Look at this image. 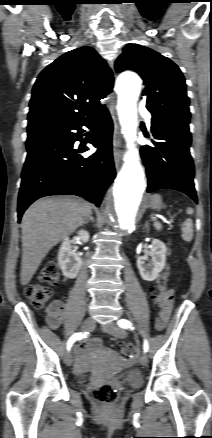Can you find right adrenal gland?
<instances>
[{"label": "right adrenal gland", "mask_w": 212, "mask_h": 438, "mask_svg": "<svg viewBox=\"0 0 212 438\" xmlns=\"http://www.w3.org/2000/svg\"><path fill=\"white\" fill-rule=\"evenodd\" d=\"M92 215H93V213L91 212L90 215H89V217L85 220V224L89 223V221H91V222H93V223L95 222V221H94V218H93Z\"/></svg>", "instance_id": "2a0ac1e0"}]
</instances>
